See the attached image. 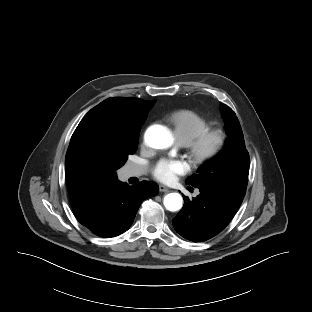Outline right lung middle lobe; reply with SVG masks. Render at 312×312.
Wrapping results in <instances>:
<instances>
[{
  "label": "right lung middle lobe",
  "mask_w": 312,
  "mask_h": 312,
  "mask_svg": "<svg viewBox=\"0 0 312 312\" xmlns=\"http://www.w3.org/2000/svg\"><path fill=\"white\" fill-rule=\"evenodd\" d=\"M147 117L131 125L95 121L82 127L69 153L72 172L84 179H116V170L135 153Z\"/></svg>",
  "instance_id": "dd1d6c3e"
}]
</instances>
